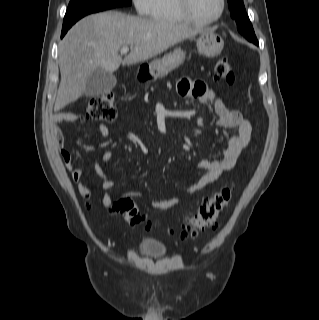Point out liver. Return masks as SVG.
I'll return each instance as SVG.
<instances>
[{
	"mask_svg": "<svg viewBox=\"0 0 319 320\" xmlns=\"http://www.w3.org/2000/svg\"><path fill=\"white\" fill-rule=\"evenodd\" d=\"M202 31L205 30L114 11L81 19L59 43L61 81L54 111L79 99L88 75L97 69L113 73L121 64L147 61ZM124 46H131V52L122 60L118 51Z\"/></svg>",
	"mask_w": 319,
	"mask_h": 320,
	"instance_id": "6515ba94",
	"label": "liver"
}]
</instances>
